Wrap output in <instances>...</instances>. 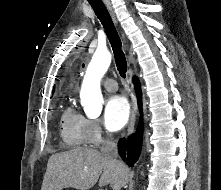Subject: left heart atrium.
<instances>
[{
  "mask_svg": "<svg viewBox=\"0 0 221 190\" xmlns=\"http://www.w3.org/2000/svg\"><path fill=\"white\" fill-rule=\"evenodd\" d=\"M130 116V106L123 96H112L107 99L103 120L107 129L117 131L125 126Z\"/></svg>",
  "mask_w": 221,
  "mask_h": 190,
  "instance_id": "39dd6f15",
  "label": "left heart atrium"
}]
</instances>
